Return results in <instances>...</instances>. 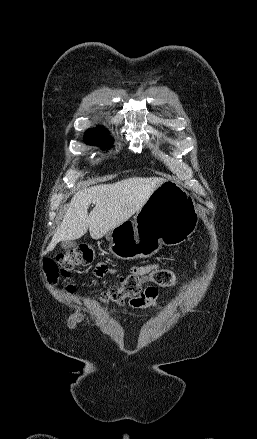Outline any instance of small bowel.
Instances as JSON below:
<instances>
[{
  "label": "small bowel",
  "mask_w": 257,
  "mask_h": 439,
  "mask_svg": "<svg viewBox=\"0 0 257 439\" xmlns=\"http://www.w3.org/2000/svg\"><path fill=\"white\" fill-rule=\"evenodd\" d=\"M162 267L158 263H150L140 266H132L129 269L131 275L137 277H145L151 272L161 269ZM119 273L117 268H109L106 264H98L94 270V274L97 278H104L107 275L116 276ZM158 295L159 291L156 287H147L140 296L133 297L129 300L128 304L134 309H148L158 307Z\"/></svg>",
  "instance_id": "obj_1"
}]
</instances>
